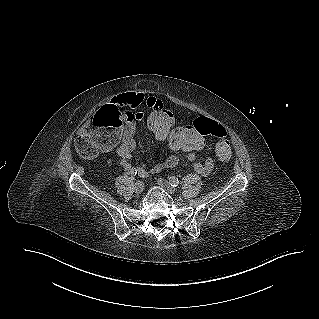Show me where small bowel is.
I'll use <instances>...</instances> for the list:
<instances>
[{"label": "small bowel", "mask_w": 319, "mask_h": 319, "mask_svg": "<svg viewBox=\"0 0 319 319\" xmlns=\"http://www.w3.org/2000/svg\"><path fill=\"white\" fill-rule=\"evenodd\" d=\"M143 103L149 108L151 113H168L170 111V106L163 104L156 97L145 98L143 94L137 92L120 94L114 97L105 108H99L98 111L92 115V125L81 127L78 131V135L80 137L88 136V141L92 148L99 152H110L116 148L115 151L121 159L122 168L126 172H131L133 168L130 159L136 148L135 123L137 121L146 123V114L139 112L137 108ZM197 132L198 135H207L198 130ZM213 145L214 142L208 140L204 150L209 152ZM183 152L186 153V159L188 161L196 160V154L187 151ZM178 163L179 157L177 155H171L149 170L141 168L138 170L146 176L151 173L173 168L177 166ZM193 170L197 174L209 176L214 170V161L212 158L207 157L203 162H195Z\"/></svg>", "instance_id": "c3829d8e"}]
</instances>
